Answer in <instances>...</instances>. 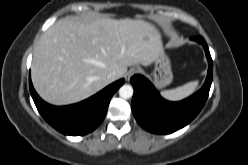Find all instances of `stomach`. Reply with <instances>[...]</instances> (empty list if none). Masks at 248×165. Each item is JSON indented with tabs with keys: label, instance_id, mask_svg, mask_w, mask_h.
<instances>
[{
	"label": "stomach",
	"instance_id": "0dacf381",
	"mask_svg": "<svg viewBox=\"0 0 248 165\" xmlns=\"http://www.w3.org/2000/svg\"><path fill=\"white\" fill-rule=\"evenodd\" d=\"M153 63L154 68L151 72V75L156 87L163 88L169 85L173 80V73L171 70L170 60L163 50L157 54Z\"/></svg>",
	"mask_w": 248,
	"mask_h": 165
}]
</instances>
